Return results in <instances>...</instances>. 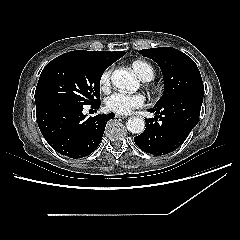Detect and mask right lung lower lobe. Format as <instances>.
<instances>
[{
  "label": "right lung lower lobe",
  "instance_id": "1",
  "mask_svg": "<svg viewBox=\"0 0 240 240\" xmlns=\"http://www.w3.org/2000/svg\"><path fill=\"white\" fill-rule=\"evenodd\" d=\"M100 101L91 104L99 109ZM83 104L67 98H50L36 103L37 122L48 144L70 158H82L96 150L108 120L114 113L87 117Z\"/></svg>",
  "mask_w": 240,
  "mask_h": 240
}]
</instances>
